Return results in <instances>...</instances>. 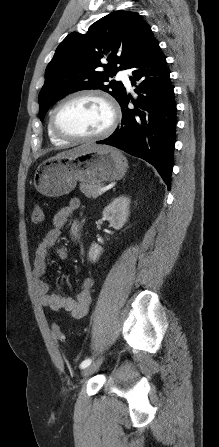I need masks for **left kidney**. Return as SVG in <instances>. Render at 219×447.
Here are the masks:
<instances>
[{"label": "left kidney", "instance_id": "1", "mask_svg": "<svg viewBox=\"0 0 219 447\" xmlns=\"http://www.w3.org/2000/svg\"><path fill=\"white\" fill-rule=\"evenodd\" d=\"M129 206L130 199L127 196H120L115 198L110 204H108L102 214L105 220H107L110 225L119 230L126 223L129 216ZM101 246L93 243L89 249L88 258L91 262L95 263L98 261L101 252Z\"/></svg>", "mask_w": 219, "mask_h": 447}]
</instances>
